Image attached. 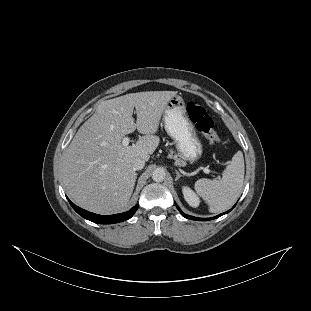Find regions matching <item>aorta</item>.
Wrapping results in <instances>:
<instances>
[{
    "label": "aorta",
    "mask_w": 311,
    "mask_h": 311,
    "mask_svg": "<svg viewBox=\"0 0 311 311\" xmlns=\"http://www.w3.org/2000/svg\"><path fill=\"white\" fill-rule=\"evenodd\" d=\"M165 177H166V173H165L164 169H162V168H156L152 172V179L155 182H162V181H164Z\"/></svg>",
    "instance_id": "762f6f07"
}]
</instances>
